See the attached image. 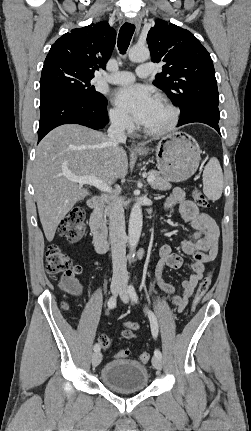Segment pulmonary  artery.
Wrapping results in <instances>:
<instances>
[{"label": "pulmonary artery", "mask_w": 251, "mask_h": 431, "mask_svg": "<svg viewBox=\"0 0 251 431\" xmlns=\"http://www.w3.org/2000/svg\"><path fill=\"white\" fill-rule=\"evenodd\" d=\"M152 72L150 63L140 65L136 70V75L141 78L149 76ZM105 79L113 84H128L135 80V75L129 71H118L106 74Z\"/></svg>", "instance_id": "obj_1"}]
</instances>
